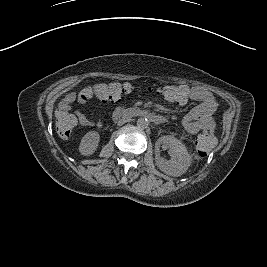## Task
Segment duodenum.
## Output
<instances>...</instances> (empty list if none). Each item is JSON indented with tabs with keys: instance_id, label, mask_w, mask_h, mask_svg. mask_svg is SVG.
<instances>
[{
	"instance_id": "obj_1",
	"label": "duodenum",
	"mask_w": 267,
	"mask_h": 267,
	"mask_svg": "<svg viewBox=\"0 0 267 267\" xmlns=\"http://www.w3.org/2000/svg\"><path fill=\"white\" fill-rule=\"evenodd\" d=\"M136 117L147 118L150 122L157 125L162 124L165 121L164 117L139 108H133V109L117 108L113 112L114 120L122 118L129 119Z\"/></svg>"
}]
</instances>
